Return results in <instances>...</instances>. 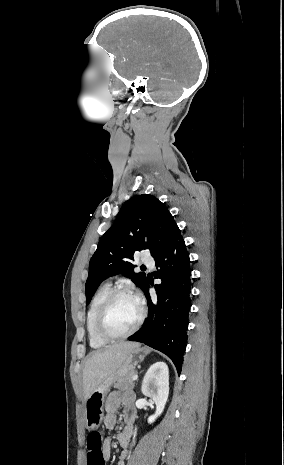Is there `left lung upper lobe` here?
<instances>
[{"label":"left lung upper lobe","instance_id":"1","mask_svg":"<svg viewBox=\"0 0 284 465\" xmlns=\"http://www.w3.org/2000/svg\"><path fill=\"white\" fill-rule=\"evenodd\" d=\"M177 229L173 216L156 197L143 194L126 201L90 260L86 304L100 283L112 275L123 273L141 288L147 278L133 271L134 253L149 250L152 257L158 256Z\"/></svg>","mask_w":284,"mask_h":465}]
</instances>
